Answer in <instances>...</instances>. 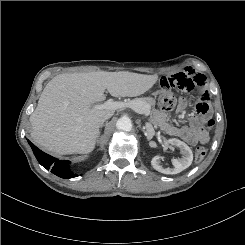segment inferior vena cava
<instances>
[{
    "label": "inferior vena cava",
    "instance_id": "602c4592",
    "mask_svg": "<svg viewBox=\"0 0 245 245\" xmlns=\"http://www.w3.org/2000/svg\"><path fill=\"white\" fill-rule=\"evenodd\" d=\"M112 115H113L112 113L105 115V116L102 118V123H103L104 121H106L107 119H109Z\"/></svg>",
    "mask_w": 245,
    "mask_h": 245
}]
</instances>
